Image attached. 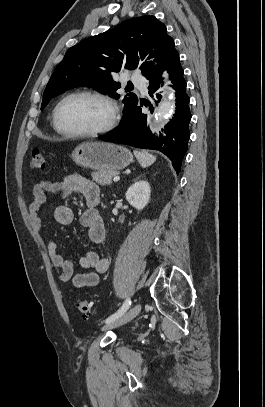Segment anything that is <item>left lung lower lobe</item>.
Wrapping results in <instances>:
<instances>
[{
  "label": "left lung lower lobe",
  "instance_id": "obj_1",
  "mask_svg": "<svg viewBox=\"0 0 265 407\" xmlns=\"http://www.w3.org/2000/svg\"><path fill=\"white\" fill-rule=\"evenodd\" d=\"M173 88L176 90V112L173 119L162 129V133L153 136L147 127V115L136 106L129 116L110 134L99 136L100 140L130 145L137 148L154 149L164 153L180 172L183 157L189 140L190 98L186 93L184 70L178 61L169 71ZM149 80V95L156 105L161 98V77L152 76ZM142 105V104H141ZM151 112L153 106L149 103Z\"/></svg>",
  "mask_w": 265,
  "mask_h": 407
}]
</instances>
